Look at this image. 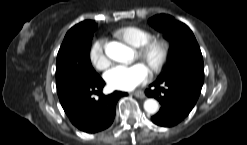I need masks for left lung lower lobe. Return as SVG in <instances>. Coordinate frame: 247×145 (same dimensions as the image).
<instances>
[{
  "instance_id": "0a47b994",
  "label": "left lung lower lobe",
  "mask_w": 247,
  "mask_h": 145,
  "mask_svg": "<svg viewBox=\"0 0 247 145\" xmlns=\"http://www.w3.org/2000/svg\"><path fill=\"white\" fill-rule=\"evenodd\" d=\"M203 82L202 71L179 70L159 76L145 91L148 97L159 100L162 106L151 118L152 121L164 127H171L182 121L197 102Z\"/></svg>"
}]
</instances>
